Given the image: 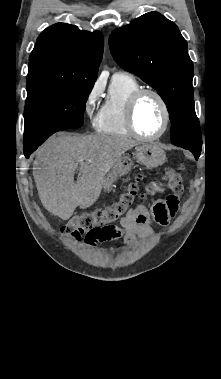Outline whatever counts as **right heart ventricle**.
Returning a JSON list of instances; mask_svg holds the SVG:
<instances>
[{
  "mask_svg": "<svg viewBox=\"0 0 221 379\" xmlns=\"http://www.w3.org/2000/svg\"><path fill=\"white\" fill-rule=\"evenodd\" d=\"M137 80L127 74H115L106 98L94 119L97 132L112 136H130L126 123V105L130 96L140 89Z\"/></svg>",
  "mask_w": 221,
  "mask_h": 379,
  "instance_id": "right-heart-ventricle-1",
  "label": "right heart ventricle"
}]
</instances>
